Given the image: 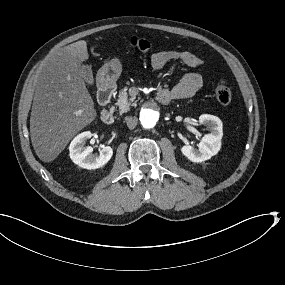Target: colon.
Segmentation results:
<instances>
[{
    "instance_id": "1",
    "label": "colon",
    "mask_w": 285,
    "mask_h": 285,
    "mask_svg": "<svg viewBox=\"0 0 285 285\" xmlns=\"http://www.w3.org/2000/svg\"><path fill=\"white\" fill-rule=\"evenodd\" d=\"M129 44L131 47L141 52H149L152 48V45L149 40L139 37V36L131 37L129 40ZM214 92H215L217 101L222 105H228L233 100V97H234L233 87L230 85H227L221 79L215 82Z\"/></svg>"
}]
</instances>
